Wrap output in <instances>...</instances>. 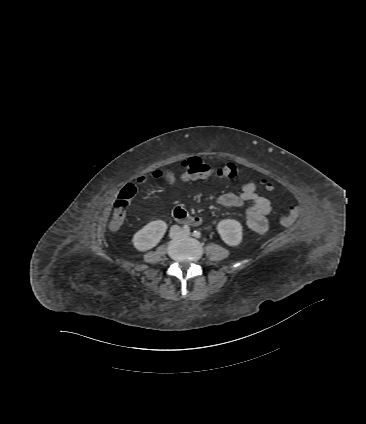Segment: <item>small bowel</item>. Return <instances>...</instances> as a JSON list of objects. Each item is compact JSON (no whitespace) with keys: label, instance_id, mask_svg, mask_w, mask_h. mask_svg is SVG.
Masks as SVG:
<instances>
[{"label":"small bowel","instance_id":"small-bowel-1","mask_svg":"<svg viewBox=\"0 0 366 424\" xmlns=\"http://www.w3.org/2000/svg\"><path fill=\"white\" fill-rule=\"evenodd\" d=\"M164 179L169 186H173L175 180L173 176L164 171ZM147 176L138 179L139 182H145ZM251 203L246 211V222L248 228L252 231L262 234L268 229L267 216L271 211L270 201L256 192V186L253 182H247L239 193H225L218 198V204L222 207H241Z\"/></svg>","mask_w":366,"mask_h":424}]
</instances>
